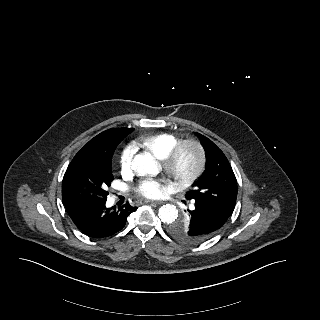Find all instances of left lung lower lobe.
<instances>
[{
  "mask_svg": "<svg viewBox=\"0 0 320 320\" xmlns=\"http://www.w3.org/2000/svg\"><path fill=\"white\" fill-rule=\"evenodd\" d=\"M228 217L200 202H195L194 210L190 211L189 223L191 234L200 242L215 235L225 224Z\"/></svg>",
  "mask_w": 320,
  "mask_h": 320,
  "instance_id": "obj_1",
  "label": "left lung lower lobe"
}]
</instances>
